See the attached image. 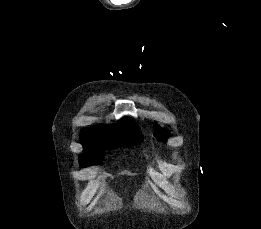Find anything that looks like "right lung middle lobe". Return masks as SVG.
Returning a JSON list of instances; mask_svg holds the SVG:
<instances>
[{
	"instance_id": "dd1d6c3e",
	"label": "right lung middle lobe",
	"mask_w": 261,
	"mask_h": 229,
	"mask_svg": "<svg viewBox=\"0 0 261 229\" xmlns=\"http://www.w3.org/2000/svg\"><path fill=\"white\" fill-rule=\"evenodd\" d=\"M121 133L127 141V145L125 147L134 146L143 141V136L137 125L125 127L121 130ZM103 156L104 153L102 150H84V153L79 157L80 165L82 167H86L93 163H99Z\"/></svg>"
}]
</instances>
